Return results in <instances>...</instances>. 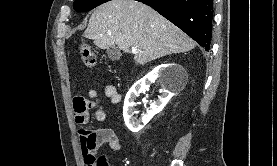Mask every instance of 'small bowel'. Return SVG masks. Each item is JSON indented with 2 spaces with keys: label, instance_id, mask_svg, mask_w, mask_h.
I'll use <instances>...</instances> for the list:
<instances>
[{
  "label": "small bowel",
  "instance_id": "c3829d8e",
  "mask_svg": "<svg viewBox=\"0 0 277 166\" xmlns=\"http://www.w3.org/2000/svg\"><path fill=\"white\" fill-rule=\"evenodd\" d=\"M104 93L113 103L119 102L120 95L114 86L105 85ZM90 109L93 110L96 120L100 122L105 120L106 114L102 102L94 89L89 91L88 97L76 96L73 99V110L77 124L85 125L88 122ZM103 144H108L114 151H119L122 148L119 137L109 127H101L94 131L87 129L80 130V149L85 166H96L93 161L96 159L94 154ZM97 159L102 162V166H108V157L106 155Z\"/></svg>",
  "mask_w": 277,
  "mask_h": 166
}]
</instances>
